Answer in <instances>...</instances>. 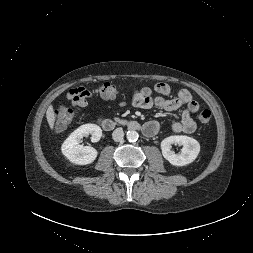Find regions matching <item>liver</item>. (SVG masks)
Returning <instances> with one entry per match:
<instances>
[{
  "label": "liver",
  "mask_w": 253,
  "mask_h": 253,
  "mask_svg": "<svg viewBox=\"0 0 253 253\" xmlns=\"http://www.w3.org/2000/svg\"><path fill=\"white\" fill-rule=\"evenodd\" d=\"M46 118H47V121H48V124H49L50 128L53 129L54 128V122H55V114H54V109H53L52 105H50L47 109Z\"/></svg>",
  "instance_id": "6515ba94"
}]
</instances>
